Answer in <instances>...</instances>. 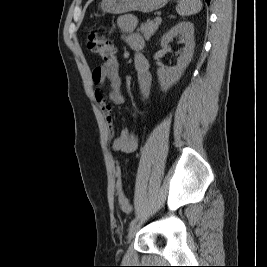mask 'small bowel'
Returning a JSON list of instances; mask_svg holds the SVG:
<instances>
[{"mask_svg":"<svg viewBox=\"0 0 267 267\" xmlns=\"http://www.w3.org/2000/svg\"><path fill=\"white\" fill-rule=\"evenodd\" d=\"M137 25L136 17L132 15H122L116 20V26L119 30L126 34L125 41L128 46L134 51V67L137 72L140 96L143 101L147 100L151 85L152 76L149 71V62L143 55L144 40L141 35L135 32ZM93 81L98 86L108 84L109 92L106 97L101 91L96 90L95 100L104 114L110 134L114 133L113 117L111 115L112 106L108 100L115 105H120L124 102V97L121 92V77L119 71V63L116 58L106 61L97 66L93 70ZM137 148V138L128 129L124 128L119 135L112 141V149L116 152L131 153Z\"/></svg>","mask_w":267,"mask_h":267,"instance_id":"c3829d8e","label":"small bowel"}]
</instances>
